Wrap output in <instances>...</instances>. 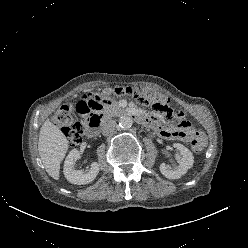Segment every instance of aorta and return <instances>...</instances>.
Instances as JSON below:
<instances>
[{"label":"aorta","instance_id":"1","mask_svg":"<svg viewBox=\"0 0 248 248\" xmlns=\"http://www.w3.org/2000/svg\"><path fill=\"white\" fill-rule=\"evenodd\" d=\"M132 124H133V120L129 116H121L119 119V126L122 129H129L131 128Z\"/></svg>","mask_w":248,"mask_h":248}]
</instances>
